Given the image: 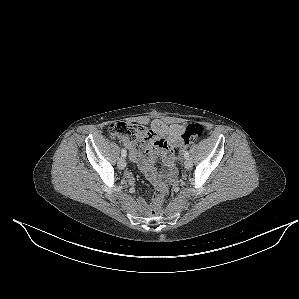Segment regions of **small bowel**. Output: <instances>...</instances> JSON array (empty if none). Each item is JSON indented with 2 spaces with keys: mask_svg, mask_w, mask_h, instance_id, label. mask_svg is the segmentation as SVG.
Masks as SVG:
<instances>
[{
  "mask_svg": "<svg viewBox=\"0 0 299 299\" xmlns=\"http://www.w3.org/2000/svg\"><path fill=\"white\" fill-rule=\"evenodd\" d=\"M184 130L185 126L182 124H166L160 119H155L148 128L149 133L141 141L140 150L135 143L123 140L129 149L130 160L139 165L140 170L154 187L160 188L165 179L174 181L176 176L174 148L183 149L187 146L182 139ZM158 160H161L167 170L157 172L155 164ZM126 178L130 183L133 182L130 173H126ZM138 205L141 209H146L145 201L141 198Z\"/></svg>",
  "mask_w": 299,
  "mask_h": 299,
  "instance_id": "1",
  "label": "small bowel"
}]
</instances>
